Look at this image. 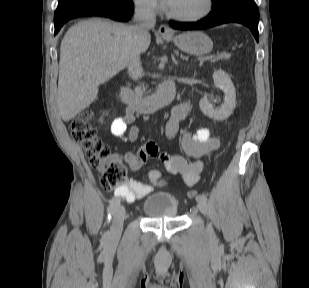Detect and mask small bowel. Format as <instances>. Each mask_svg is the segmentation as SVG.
I'll list each match as a JSON object with an SVG mask.
<instances>
[{
    "label": "small bowel",
    "instance_id": "1",
    "mask_svg": "<svg viewBox=\"0 0 309 288\" xmlns=\"http://www.w3.org/2000/svg\"><path fill=\"white\" fill-rule=\"evenodd\" d=\"M189 111L190 104L188 103H181L173 109L166 125L168 139H172L177 134L180 122L187 116ZM133 121L132 112L127 111L123 117L115 118L111 122V133L130 142L135 141L138 137V129L132 125ZM219 145V139L211 136L208 128L201 127L194 134L189 132L182 134L181 149L183 154L163 151L156 143L147 142L136 154L125 153L120 155V158L131 170L140 169L149 158H157L164 164L169 173L180 176L186 185L191 186L200 177L203 169L202 158L218 149ZM186 157H191L194 161L189 162ZM158 178L159 173L152 171L148 183L130 179L122 188L116 190L115 194L128 202H134L151 193L157 185Z\"/></svg>",
    "mask_w": 309,
    "mask_h": 288
}]
</instances>
